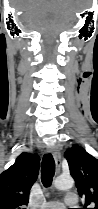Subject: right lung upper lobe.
<instances>
[{"label": "right lung upper lobe", "mask_w": 98, "mask_h": 209, "mask_svg": "<svg viewBox=\"0 0 98 209\" xmlns=\"http://www.w3.org/2000/svg\"><path fill=\"white\" fill-rule=\"evenodd\" d=\"M40 158L21 153L15 163L0 174V209H25L29 192L38 177Z\"/></svg>", "instance_id": "cb5924a9"}]
</instances>
